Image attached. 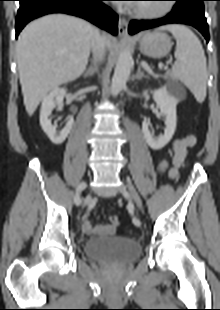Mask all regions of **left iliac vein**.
<instances>
[{
	"label": "left iliac vein",
	"mask_w": 220,
	"mask_h": 310,
	"mask_svg": "<svg viewBox=\"0 0 220 310\" xmlns=\"http://www.w3.org/2000/svg\"><path fill=\"white\" fill-rule=\"evenodd\" d=\"M127 186L129 189V193L132 197V199L135 201V203L137 204V206L142 209V202L141 199L136 191V189L134 188V186L132 185L130 180H127Z\"/></svg>",
	"instance_id": "obj_1"
}]
</instances>
